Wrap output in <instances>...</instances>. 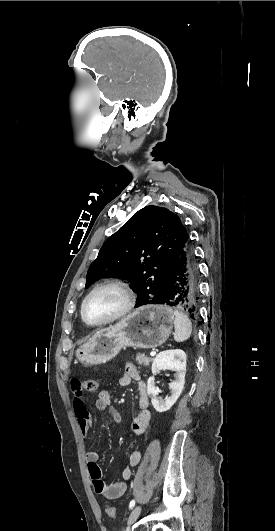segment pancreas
<instances>
[{
    "instance_id": "obj_1",
    "label": "pancreas",
    "mask_w": 275,
    "mask_h": 531,
    "mask_svg": "<svg viewBox=\"0 0 275 531\" xmlns=\"http://www.w3.org/2000/svg\"><path fill=\"white\" fill-rule=\"evenodd\" d=\"M138 365H144V367H149L150 363L154 361V359H150V357H147V355H141V353H138L136 355V359Z\"/></svg>"
}]
</instances>
